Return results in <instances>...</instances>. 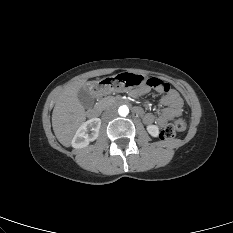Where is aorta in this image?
Segmentation results:
<instances>
[{"label": "aorta", "mask_w": 233, "mask_h": 233, "mask_svg": "<svg viewBox=\"0 0 233 233\" xmlns=\"http://www.w3.org/2000/svg\"><path fill=\"white\" fill-rule=\"evenodd\" d=\"M118 113H119L120 116L125 117L129 113V108L127 106H125V105H122V106L119 107Z\"/></svg>", "instance_id": "aorta-1"}]
</instances>
